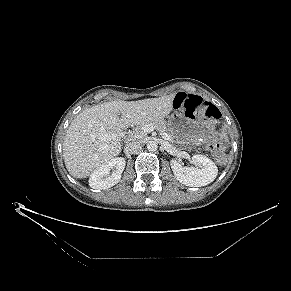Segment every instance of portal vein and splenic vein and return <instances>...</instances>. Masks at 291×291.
Segmentation results:
<instances>
[{"label": "portal vein and splenic vein", "mask_w": 291, "mask_h": 291, "mask_svg": "<svg viewBox=\"0 0 291 291\" xmlns=\"http://www.w3.org/2000/svg\"><path fill=\"white\" fill-rule=\"evenodd\" d=\"M155 130V127L152 124H147L142 128L143 133H149ZM160 135L162 136L163 139L165 140H170L171 136L168 135L167 133L160 132ZM121 137H123V134H117V133H112L108 134L105 136V138L110 139V140H119Z\"/></svg>", "instance_id": "18ae733b"}]
</instances>
